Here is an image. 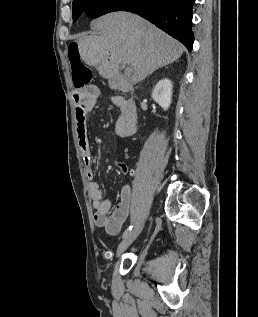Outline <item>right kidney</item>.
<instances>
[{
  "label": "right kidney",
  "instance_id": "ca27d5eb",
  "mask_svg": "<svg viewBox=\"0 0 258 317\" xmlns=\"http://www.w3.org/2000/svg\"><path fill=\"white\" fill-rule=\"evenodd\" d=\"M172 82L169 78H161L152 90V98L156 100L164 110H167L171 104Z\"/></svg>",
  "mask_w": 258,
  "mask_h": 317
}]
</instances>
